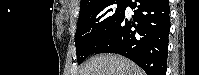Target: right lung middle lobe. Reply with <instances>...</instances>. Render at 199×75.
Returning <instances> with one entry per match:
<instances>
[{"mask_svg": "<svg viewBox=\"0 0 199 75\" xmlns=\"http://www.w3.org/2000/svg\"><path fill=\"white\" fill-rule=\"evenodd\" d=\"M126 0H106L93 8L80 12L75 44L80 64L94 54L124 14Z\"/></svg>", "mask_w": 199, "mask_h": 75, "instance_id": "obj_1", "label": "right lung middle lobe"}]
</instances>
